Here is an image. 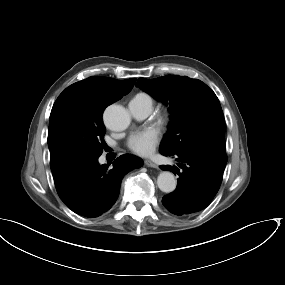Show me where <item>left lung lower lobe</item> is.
I'll return each mask as SVG.
<instances>
[{"label":"left lung lower lobe","mask_w":285,"mask_h":285,"mask_svg":"<svg viewBox=\"0 0 285 285\" xmlns=\"http://www.w3.org/2000/svg\"><path fill=\"white\" fill-rule=\"evenodd\" d=\"M179 168L160 166L163 170L179 175L176 189L162 198L165 208L178 216L189 215L206 208L218 192L227 163L224 152L212 149H196L173 155Z\"/></svg>","instance_id":"left-lung-lower-lobe-1"}]
</instances>
